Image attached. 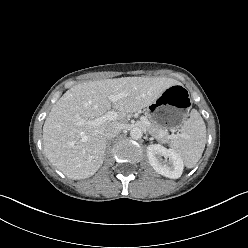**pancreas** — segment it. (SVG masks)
I'll return each mask as SVG.
<instances>
[{"label": "pancreas", "instance_id": "pancreas-1", "mask_svg": "<svg viewBox=\"0 0 248 248\" xmlns=\"http://www.w3.org/2000/svg\"><path fill=\"white\" fill-rule=\"evenodd\" d=\"M148 132L155 138L159 140H167L169 138L168 132L166 129L160 127L156 123L149 120V125L146 126Z\"/></svg>", "mask_w": 248, "mask_h": 248}]
</instances>
